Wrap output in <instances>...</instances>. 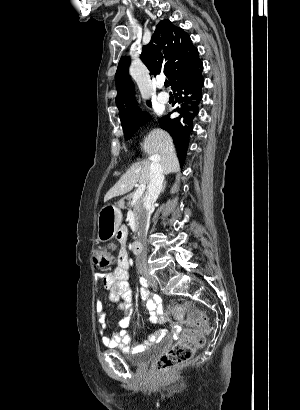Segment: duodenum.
<instances>
[{"mask_svg":"<svg viewBox=\"0 0 300 410\" xmlns=\"http://www.w3.org/2000/svg\"><path fill=\"white\" fill-rule=\"evenodd\" d=\"M141 249H142V244L139 240H136L132 243V251L135 254H139Z\"/></svg>","mask_w":300,"mask_h":410,"instance_id":"duodenum-1","label":"duodenum"}]
</instances>
